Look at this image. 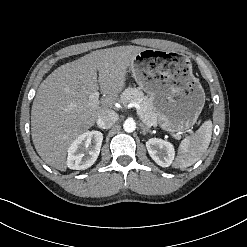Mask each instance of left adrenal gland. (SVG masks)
Here are the masks:
<instances>
[{"label": "left adrenal gland", "mask_w": 247, "mask_h": 247, "mask_svg": "<svg viewBox=\"0 0 247 247\" xmlns=\"http://www.w3.org/2000/svg\"><path fill=\"white\" fill-rule=\"evenodd\" d=\"M140 127L142 129L143 135H146V133H151V130L149 128L145 127L143 123H140Z\"/></svg>", "instance_id": "obj_1"}]
</instances>
